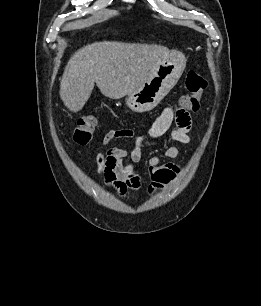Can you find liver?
<instances>
[{
    "label": "liver",
    "mask_w": 261,
    "mask_h": 306,
    "mask_svg": "<svg viewBox=\"0 0 261 306\" xmlns=\"http://www.w3.org/2000/svg\"><path fill=\"white\" fill-rule=\"evenodd\" d=\"M169 49L161 45L102 41L76 51L60 82V98L72 112L80 111L96 83L101 93L120 99L133 92Z\"/></svg>",
    "instance_id": "obj_1"
}]
</instances>
